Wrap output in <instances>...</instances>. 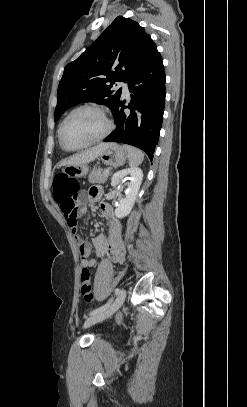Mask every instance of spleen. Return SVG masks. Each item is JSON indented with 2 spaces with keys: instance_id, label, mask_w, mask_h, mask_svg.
I'll list each match as a JSON object with an SVG mask.
<instances>
[{
  "instance_id": "3e777b00",
  "label": "spleen",
  "mask_w": 247,
  "mask_h": 407,
  "mask_svg": "<svg viewBox=\"0 0 247 407\" xmlns=\"http://www.w3.org/2000/svg\"><path fill=\"white\" fill-rule=\"evenodd\" d=\"M128 154H129V165L134 167V166H138L142 163V161L144 160V154L142 151H140L139 149L129 146V145H124L123 146Z\"/></svg>"
}]
</instances>
